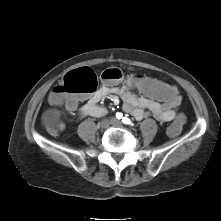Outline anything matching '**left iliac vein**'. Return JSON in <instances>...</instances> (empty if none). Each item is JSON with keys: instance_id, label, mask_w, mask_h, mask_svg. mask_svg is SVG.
I'll use <instances>...</instances> for the list:
<instances>
[{"instance_id": "1", "label": "left iliac vein", "mask_w": 221, "mask_h": 221, "mask_svg": "<svg viewBox=\"0 0 221 221\" xmlns=\"http://www.w3.org/2000/svg\"><path fill=\"white\" fill-rule=\"evenodd\" d=\"M111 124L115 127H122V123L118 120H111Z\"/></svg>"}]
</instances>
